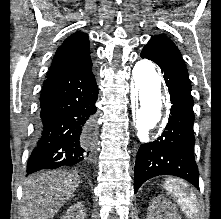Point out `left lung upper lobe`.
<instances>
[{"mask_svg": "<svg viewBox=\"0 0 221 219\" xmlns=\"http://www.w3.org/2000/svg\"><path fill=\"white\" fill-rule=\"evenodd\" d=\"M145 47H148L151 50L165 52L168 55L175 56L178 60L184 63L178 48L174 45L172 41L167 39L165 35H157L155 37H152Z\"/></svg>", "mask_w": 221, "mask_h": 219, "instance_id": "1", "label": "left lung upper lobe"}]
</instances>
